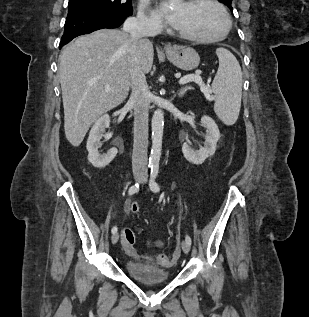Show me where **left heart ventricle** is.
I'll return each instance as SVG.
<instances>
[{"mask_svg":"<svg viewBox=\"0 0 309 317\" xmlns=\"http://www.w3.org/2000/svg\"><path fill=\"white\" fill-rule=\"evenodd\" d=\"M173 13L177 15L176 30L194 36L213 37L219 35L224 20L219 10L209 3L175 5Z\"/></svg>","mask_w":309,"mask_h":317,"instance_id":"left-heart-ventricle-1","label":"left heart ventricle"}]
</instances>
